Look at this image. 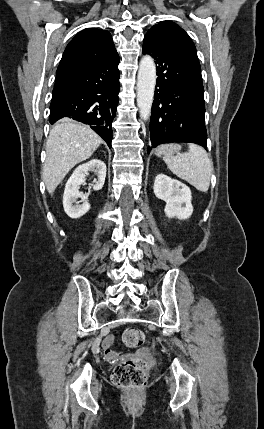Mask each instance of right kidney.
<instances>
[{"instance_id": "obj_1", "label": "right kidney", "mask_w": 264, "mask_h": 429, "mask_svg": "<svg viewBox=\"0 0 264 429\" xmlns=\"http://www.w3.org/2000/svg\"><path fill=\"white\" fill-rule=\"evenodd\" d=\"M89 171H93L97 175V180H95L93 184L94 191L101 190L104 185L106 165L103 161L92 159L78 166L67 181L63 195L64 211L70 218H80L90 209V204L87 202L90 190L86 194L79 192V187L81 184L85 183V177L88 175ZM78 199L82 200L83 203L81 205L78 204Z\"/></svg>"}]
</instances>
